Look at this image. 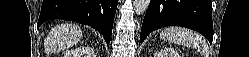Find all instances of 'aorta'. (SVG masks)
Here are the masks:
<instances>
[{
	"instance_id": "1",
	"label": "aorta",
	"mask_w": 249,
	"mask_h": 57,
	"mask_svg": "<svg viewBox=\"0 0 249 57\" xmlns=\"http://www.w3.org/2000/svg\"><path fill=\"white\" fill-rule=\"evenodd\" d=\"M149 4H150V0H135L134 6H135L136 14L143 15L148 9Z\"/></svg>"
}]
</instances>
